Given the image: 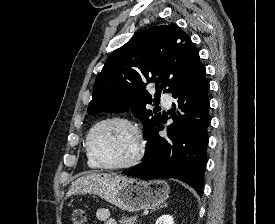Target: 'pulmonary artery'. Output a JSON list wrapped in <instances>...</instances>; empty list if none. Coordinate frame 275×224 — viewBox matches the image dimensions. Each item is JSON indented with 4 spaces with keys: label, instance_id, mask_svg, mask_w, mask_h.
<instances>
[{
    "label": "pulmonary artery",
    "instance_id": "1",
    "mask_svg": "<svg viewBox=\"0 0 275 224\" xmlns=\"http://www.w3.org/2000/svg\"><path fill=\"white\" fill-rule=\"evenodd\" d=\"M160 100L162 102L163 105H165L166 107H169L171 105V97L166 94V93H162L160 96Z\"/></svg>",
    "mask_w": 275,
    "mask_h": 224
}]
</instances>
